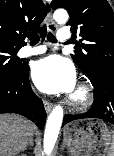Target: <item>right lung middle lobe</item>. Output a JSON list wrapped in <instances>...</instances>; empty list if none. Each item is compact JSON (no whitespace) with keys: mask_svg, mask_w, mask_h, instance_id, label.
<instances>
[{"mask_svg":"<svg viewBox=\"0 0 114 156\" xmlns=\"http://www.w3.org/2000/svg\"><path fill=\"white\" fill-rule=\"evenodd\" d=\"M18 50L0 48V81L15 79L23 70L24 64L16 56Z\"/></svg>","mask_w":114,"mask_h":156,"instance_id":"obj_1","label":"right lung middle lobe"}]
</instances>
